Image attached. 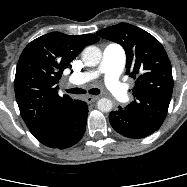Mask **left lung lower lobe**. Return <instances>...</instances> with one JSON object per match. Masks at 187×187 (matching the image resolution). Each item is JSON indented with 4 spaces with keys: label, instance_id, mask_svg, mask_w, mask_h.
<instances>
[{
    "label": "left lung lower lobe",
    "instance_id": "0a47b994",
    "mask_svg": "<svg viewBox=\"0 0 187 187\" xmlns=\"http://www.w3.org/2000/svg\"><path fill=\"white\" fill-rule=\"evenodd\" d=\"M109 121L115 131L128 138H144L158 130L120 108L109 114Z\"/></svg>",
    "mask_w": 187,
    "mask_h": 187
}]
</instances>
